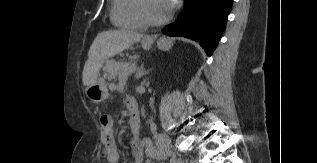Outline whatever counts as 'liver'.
Returning a JSON list of instances; mask_svg holds the SVG:
<instances>
[{
  "mask_svg": "<svg viewBox=\"0 0 317 163\" xmlns=\"http://www.w3.org/2000/svg\"><path fill=\"white\" fill-rule=\"evenodd\" d=\"M142 38V34L126 30L100 32L88 52V59L83 69V84L88 87L95 83L106 59L130 48Z\"/></svg>",
  "mask_w": 317,
  "mask_h": 163,
  "instance_id": "1",
  "label": "liver"
}]
</instances>
